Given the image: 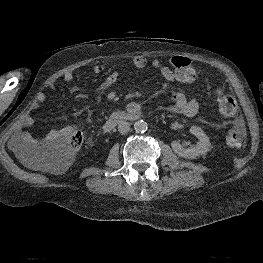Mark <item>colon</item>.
Returning <instances> with one entry per match:
<instances>
[{
  "mask_svg": "<svg viewBox=\"0 0 263 263\" xmlns=\"http://www.w3.org/2000/svg\"><path fill=\"white\" fill-rule=\"evenodd\" d=\"M170 65L177 81L183 84H191L198 79V72L189 59L173 57L170 60ZM214 95L219 105L221 119L224 123H228L236 113V102L218 87L214 89ZM225 140L229 147L240 148L244 142V133L240 129L229 130ZM83 142V133L74 129L67 137L66 144L52 151V160L56 164L67 163L72 158V155L82 147Z\"/></svg>",
  "mask_w": 263,
  "mask_h": 263,
  "instance_id": "colon-1",
  "label": "colon"
}]
</instances>
